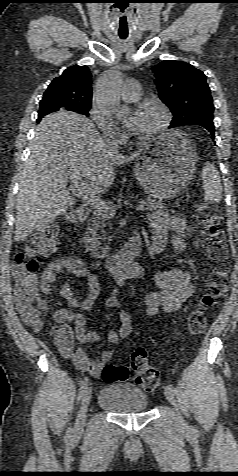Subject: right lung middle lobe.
<instances>
[{
    "mask_svg": "<svg viewBox=\"0 0 238 476\" xmlns=\"http://www.w3.org/2000/svg\"><path fill=\"white\" fill-rule=\"evenodd\" d=\"M89 109H90L89 107L88 108H83L82 110H80L78 112L88 116L89 115V113H88ZM58 110L64 111V110L60 109L56 104L48 103V102H40L38 118L40 119L44 115L49 114L51 112L58 111Z\"/></svg>",
    "mask_w": 238,
    "mask_h": 476,
    "instance_id": "obj_1",
    "label": "right lung middle lobe"
}]
</instances>
